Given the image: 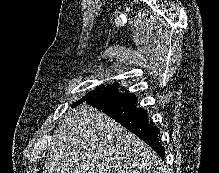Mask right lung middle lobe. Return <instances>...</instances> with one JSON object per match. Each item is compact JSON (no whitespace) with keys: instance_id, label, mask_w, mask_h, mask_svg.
<instances>
[{"instance_id":"right-lung-middle-lobe-1","label":"right lung middle lobe","mask_w":219,"mask_h":173,"mask_svg":"<svg viewBox=\"0 0 219 173\" xmlns=\"http://www.w3.org/2000/svg\"><path fill=\"white\" fill-rule=\"evenodd\" d=\"M119 88V84L118 83H114L113 85H108L107 87H104V85L98 86L95 90L90 91L86 96H84L81 100H79L78 102H76L75 104L72 105V107L82 103L85 100H88L92 97H95L97 95H110L113 93H116V90Z\"/></svg>"}]
</instances>
